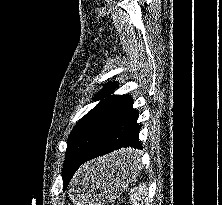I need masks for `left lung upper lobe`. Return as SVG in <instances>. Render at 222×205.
I'll use <instances>...</instances> for the list:
<instances>
[{"mask_svg": "<svg viewBox=\"0 0 222 205\" xmlns=\"http://www.w3.org/2000/svg\"><path fill=\"white\" fill-rule=\"evenodd\" d=\"M117 87V82H113L107 84L96 94L94 100L101 101L78 121L70 133L62 170L63 184L71 176L70 162L73 159H80L87 154L108 115L123 97V95H111Z\"/></svg>", "mask_w": 222, "mask_h": 205, "instance_id": "left-lung-upper-lobe-1", "label": "left lung upper lobe"}]
</instances>
